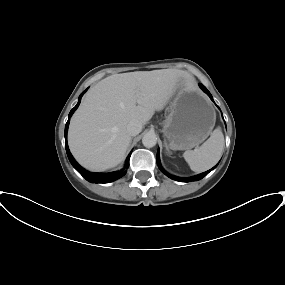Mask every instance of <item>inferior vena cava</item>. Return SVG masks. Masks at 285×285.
<instances>
[{"label":"inferior vena cava","mask_w":285,"mask_h":285,"mask_svg":"<svg viewBox=\"0 0 285 285\" xmlns=\"http://www.w3.org/2000/svg\"><path fill=\"white\" fill-rule=\"evenodd\" d=\"M126 130L130 136L138 135L142 130V123L138 120H131L127 126Z\"/></svg>","instance_id":"obj_1"}]
</instances>
